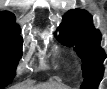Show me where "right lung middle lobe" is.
Masks as SVG:
<instances>
[{
    "label": "right lung middle lobe",
    "instance_id": "right-lung-middle-lobe-1",
    "mask_svg": "<svg viewBox=\"0 0 107 89\" xmlns=\"http://www.w3.org/2000/svg\"><path fill=\"white\" fill-rule=\"evenodd\" d=\"M19 28L0 26V88L7 86L15 76V69L22 56L23 39Z\"/></svg>",
    "mask_w": 107,
    "mask_h": 89
}]
</instances>
